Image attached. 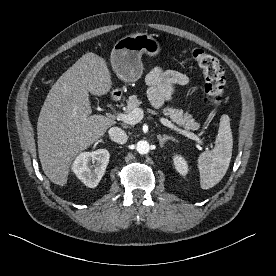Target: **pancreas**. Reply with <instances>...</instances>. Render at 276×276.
Listing matches in <instances>:
<instances>
[{
	"label": "pancreas",
	"instance_id": "obj_1",
	"mask_svg": "<svg viewBox=\"0 0 276 276\" xmlns=\"http://www.w3.org/2000/svg\"><path fill=\"white\" fill-rule=\"evenodd\" d=\"M142 104V101L137 95L129 96L127 100L126 113H130ZM162 113L168 116L173 122L179 126H183L185 130H196L199 128V124L191 118L187 113H183V110L174 107H165L162 109Z\"/></svg>",
	"mask_w": 276,
	"mask_h": 276
}]
</instances>
